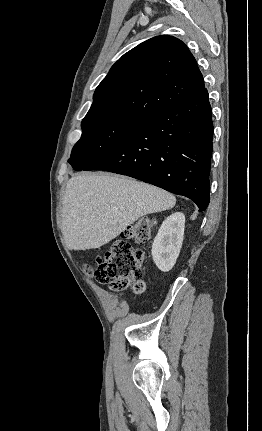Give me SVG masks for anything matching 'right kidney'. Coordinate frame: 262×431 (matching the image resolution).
I'll return each instance as SVG.
<instances>
[{
	"instance_id": "right-kidney-1",
	"label": "right kidney",
	"mask_w": 262,
	"mask_h": 431,
	"mask_svg": "<svg viewBox=\"0 0 262 431\" xmlns=\"http://www.w3.org/2000/svg\"><path fill=\"white\" fill-rule=\"evenodd\" d=\"M185 216L176 212L162 223L152 245L153 261L163 272L173 268L183 243Z\"/></svg>"
}]
</instances>
